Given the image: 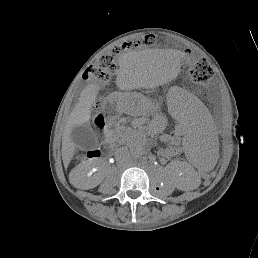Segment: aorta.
<instances>
[{"label":"aorta","instance_id":"762f6f07","mask_svg":"<svg viewBox=\"0 0 258 258\" xmlns=\"http://www.w3.org/2000/svg\"><path fill=\"white\" fill-rule=\"evenodd\" d=\"M134 155H135L136 157H139V156H141V152H140V151H135V152H134Z\"/></svg>","mask_w":258,"mask_h":258}]
</instances>
